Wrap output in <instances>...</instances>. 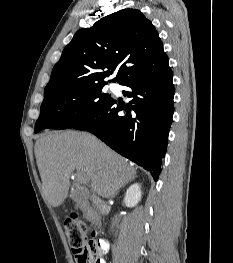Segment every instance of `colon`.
<instances>
[{"label": "colon", "mask_w": 233, "mask_h": 263, "mask_svg": "<svg viewBox=\"0 0 233 263\" xmlns=\"http://www.w3.org/2000/svg\"><path fill=\"white\" fill-rule=\"evenodd\" d=\"M64 228L72 253L78 263H100V242L88 236L87 225L82 220L78 217L67 219Z\"/></svg>", "instance_id": "1"}]
</instances>
